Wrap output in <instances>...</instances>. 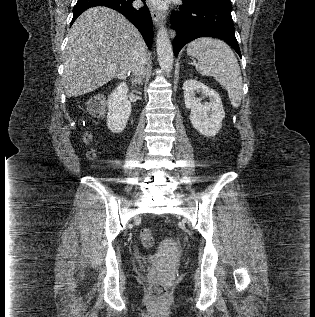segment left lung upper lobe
Returning <instances> with one entry per match:
<instances>
[{
	"label": "left lung upper lobe",
	"instance_id": "left-lung-upper-lobe-1",
	"mask_svg": "<svg viewBox=\"0 0 315 317\" xmlns=\"http://www.w3.org/2000/svg\"><path fill=\"white\" fill-rule=\"evenodd\" d=\"M213 1H216L219 4L231 5V1L230 0H213Z\"/></svg>",
	"mask_w": 315,
	"mask_h": 317
}]
</instances>
